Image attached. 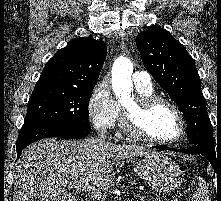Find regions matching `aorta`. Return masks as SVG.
Listing matches in <instances>:
<instances>
[{
	"mask_svg": "<svg viewBox=\"0 0 221 201\" xmlns=\"http://www.w3.org/2000/svg\"><path fill=\"white\" fill-rule=\"evenodd\" d=\"M133 65L130 60L120 58L114 64L112 70V86L113 91L118 98H127L131 95L133 84L131 75Z\"/></svg>",
	"mask_w": 221,
	"mask_h": 201,
	"instance_id": "aorta-1",
	"label": "aorta"
}]
</instances>
